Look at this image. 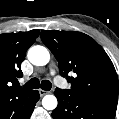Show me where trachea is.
Segmentation results:
<instances>
[{"label":"trachea","mask_w":119,"mask_h":119,"mask_svg":"<svg viewBox=\"0 0 119 119\" xmlns=\"http://www.w3.org/2000/svg\"><path fill=\"white\" fill-rule=\"evenodd\" d=\"M26 88H30V89H36V88H41L45 91H49L52 87V84L49 80H43L40 84L39 79L37 78H32L31 80H29L25 85Z\"/></svg>","instance_id":"3493384b"}]
</instances>
